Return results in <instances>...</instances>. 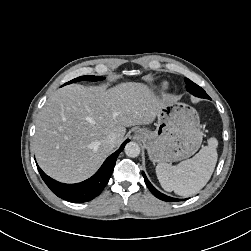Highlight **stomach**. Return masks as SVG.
I'll use <instances>...</instances> for the list:
<instances>
[{
    "label": "stomach",
    "mask_w": 251,
    "mask_h": 251,
    "mask_svg": "<svg viewBox=\"0 0 251 251\" xmlns=\"http://www.w3.org/2000/svg\"><path fill=\"white\" fill-rule=\"evenodd\" d=\"M136 135L154 163H171L192 156L203 136L197 111L174 98H168L159 109L154 131L142 128Z\"/></svg>",
    "instance_id": "obj_1"
}]
</instances>
